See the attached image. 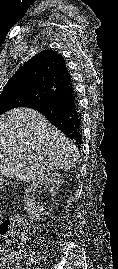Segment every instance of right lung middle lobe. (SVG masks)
<instances>
[{
    "label": "right lung middle lobe",
    "mask_w": 118,
    "mask_h": 269,
    "mask_svg": "<svg viewBox=\"0 0 118 269\" xmlns=\"http://www.w3.org/2000/svg\"><path fill=\"white\" fill-rule=\"evenodd\" d=\"M36 100L35 96L26 94H6L0 97V115L17 107H27Z\"/></svg>",
    "instance_id": "right-lung-middle-lobe-1"
}]
</instances>
